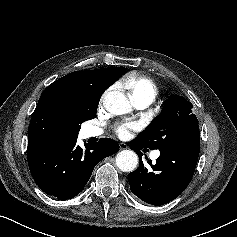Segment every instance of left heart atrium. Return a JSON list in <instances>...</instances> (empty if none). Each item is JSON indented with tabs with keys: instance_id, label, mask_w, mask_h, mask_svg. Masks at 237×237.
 <instances>
[{
	"instance_id": "39dd6f15",
	"label": "left heart atrium",
	"mask_w": 237,
	"mask_h": 237,
	"mask_svg": "<svg viewBox=\"0 0 237 237\" xmlns=\"http://www.w3.org/2000/svg\"><path fill=\"white\" fill-rule=\"evenodd\" d=\"M137 125L134 123H125L121 124L117 128V134L120 138H127L129 136V132L132 129H136Z\"/></svg>"
}]
</instances>
